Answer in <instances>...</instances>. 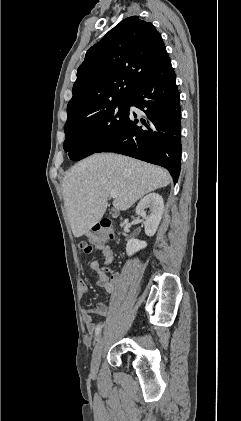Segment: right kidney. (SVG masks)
Listing matches in <instances>:
<instances>
[{
    "instance_id": "ca27d5eb",
    "label": "right kidney",
    "mask_w": 241,
    "mask_h": 421,
    "mask_svg": "<svg viewBox=\"0 0 241 421\" xmlns=\"http://www.w3.org/2000/svg\"><path fill=\"white\" fill-rule=\"evenodd\" d=\"M149 208L150 214L147 215L145 209ZM164 210V201L162 196L157 193H150L140 200L136 206V213L145 219V234L153 236L162 219ZM147 243L138 239H130L126 245V253L128 256L133 255L139 250L145 248Z\"/></svg>"
}]
</instances>
